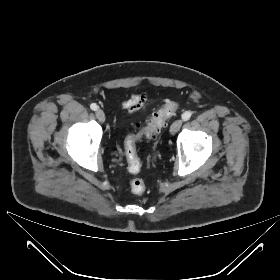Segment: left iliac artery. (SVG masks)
I'll return each instance as SVG.
<instances>
[{
	"instance_id": "1",
	"label": "left iliac artery",
	"mask_w": 280,
	"mask_h": 280,
	"mask_svg": "<svg viewBox=\"0 0 280 280\" xmlns=\"http://www.w3.org/2000/svg\"><path fill=\"white\" fill-rule=\"evenodd\" d=\"M192 113L190 111H186L182 114L183 121H187L191 118Z\"/></svg>"
}]
</instances>
